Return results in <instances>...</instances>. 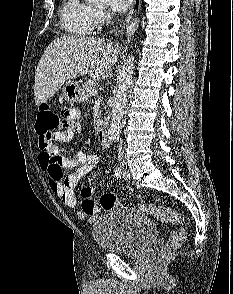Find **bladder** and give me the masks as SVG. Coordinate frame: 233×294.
<instances>
[{"mask_svg": "<svg viewBox=\"0 0 233 294\" xmlns=\"http://www.w3.org/2000/svg\"><path fill=\"white\" fill-rule=\"evenodd\" d=\"M92 237L103 250L134 255L156 238L157 229L143 212L132 207H117L101 215L92 225Z\"/></svg>", "mask_w": 233, "mask_h": 294, "instance_id": "31cf9c89", "label": "bladder"}]
</instances>
